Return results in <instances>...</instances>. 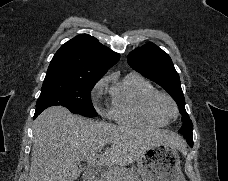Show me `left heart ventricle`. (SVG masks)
<instances>
[{
    "instance_id": "b2bd125f",
    "label": "left heart ventricle",
    "mask_w": 228,
    "mask_h": 181,
    "mask_svg": "<svg viewBox=\"0 0 228 181\" xmlns=\"http://www.w3.org/2000/svg\"><path fill=\"white\" fill-rule=\"evenodd\" d=\"M161 106H162L163 108H167V104L164 103V102L161 104Z\"/></svg>"
}]
</instances>
